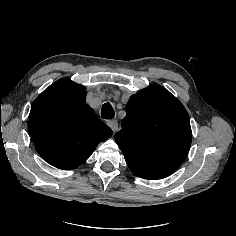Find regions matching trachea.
<instances>
[{
	"instance_id": "trachea-1",
	"label": "trachea",
	"mask_w": 236,
	"mask_h": 236,
	"mask_svg": "<svg viewBox=\"0 0 236 236\" xmlns=\"http://www.w3.org/2000/svg\"><path fill=\"white\" fill-rule=\"evenodd\" d=\"M101 115L104 119H111L114 117L115 112L109 102L103 104L102 110H101Z\"/></svg>"
}]
</instances>
